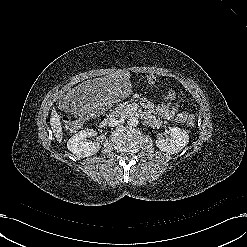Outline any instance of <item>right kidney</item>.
Segmentation results:
<instances>
[{"label": "right kidney", "mask_w": 247, "mask_h": 247, "mask_svg": "<svg viewBox=\"0 0 247 247\" xmlns=\"http://www.w3.org/2000/svg\"><path fill=\"white\" fill-rule=\"evenodd\" d=\"M95 135L93 129L82 130L73 135L67 142V148L79 158H85L97 153L101 145L97 142H88L86 138Z\"/></svg>", "instance_id": "ca27d5eb"}]
</instances>
